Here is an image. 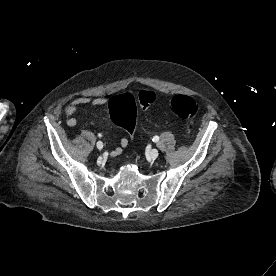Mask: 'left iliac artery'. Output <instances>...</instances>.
Returning a JSON list of instances; mask_svg holds the SVG:
<instances>
[{"mask_svg": "<svg viewBox=\"0 0 276 276\" xmlns=\"http://www.w3.org/2000/svg\"><path fill=\"white\" fill-rule=\"evenodd\" d=\"M154 142H158L159 141V137L158 136H154L152 139Z\"/></svg>", "mask_w": 276, "mask_h": 276, "instance_id": "1", "label": "left iliac artery"}]
</instances>
